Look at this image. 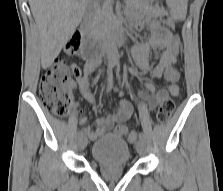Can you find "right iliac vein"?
Instances as JSON below:
<instances>
[{
    "mask_svg": "<svg viewBox=\"0 0 223 191\" xmlns=\"http://www.w3.org/2000/svg\"><path fill=\"white\" fill-rule=\"evenodd\" d=\"M88 140L85 136H80L78 138V145L81 150H83L87 146Z\"/></svg>",
    "mask_w": 223,
    "mask_h": 191,
    "instance_id": "obj_1",
    "label": "right iliac vein"
}]
</instances>
